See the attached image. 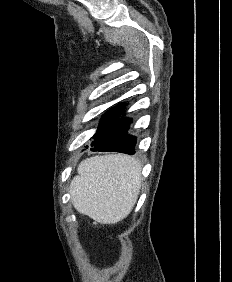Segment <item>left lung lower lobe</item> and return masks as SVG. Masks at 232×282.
<instances>
[{
    "label": "left lung lower lobe",
    "instance_id": "left-lung-lower-lobe-1",
    "mask_svg": "<svg viewBox=\"0 0 232 282\" xmlns=\"http://www.w3.org/2000/svg\"><path fill=\"white\" fill-rule=\"evenodd\" d=\"M124 109V103L118 104L101 117L94 141L91 143L92 151H112L129 155L135 153L136 138L127 134L131 119L119 117Z\"/></svg>",
    "mask_w": 232,
    "mask_h": 282
}]
</instances>
